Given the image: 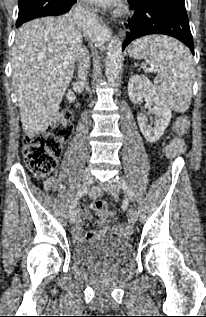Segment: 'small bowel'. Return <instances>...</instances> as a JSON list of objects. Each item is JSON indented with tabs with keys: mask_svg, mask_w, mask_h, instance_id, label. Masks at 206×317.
I'll return each instance as SVG.
<instances>
[{
	"mask_svg": "<svg viewBox=\"0 0 206 317\" xmlns=\"http://www.w3.org/2000/svg\"><path fill=\"white\" fill-rule=\"evenodd\" d=\"M56 184L57 183H56V180L54 178H50L46 181V186L49 188L55 189ZM99 195H100V191H98V190H94L91 193L92 197H97ZM83 214L86 218L91 219V214H90L89 210H84ZM110 232H111V228L108 225H104V227L102 228V230L100 232H96V231L90 229L85 234H83L81 224L78 222L74 228L73 235H74V238L76 240L80 241L83 239L94 238V237L98 236L99 234H109Z\"/></svg>",
	"mask_w": 206,
	"mask_h": 317,
	"instance_id": "obj_1",
	"label": "small bowel"
}]
</instances>
